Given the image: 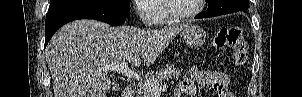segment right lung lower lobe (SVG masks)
<instances>
[{
  "mask_svg": "<svg viewBox=\"0 0 302 97\" xmlns=\"http://www.w3.org/2000/svg\"><path fill=\"white\" fill-rule=\"evenodd\" d=\"M127 17L115 9L100 4H76L49 10L46 17L45 47L53 34L64 24L77 19H95L110 25H120Z\"/></svg>",
  "mask_w": 302,
  "mask_h": 97,
  "instance_id": "98d812e1",
  "label": "right lung lower lobe"
}]
</instances>
